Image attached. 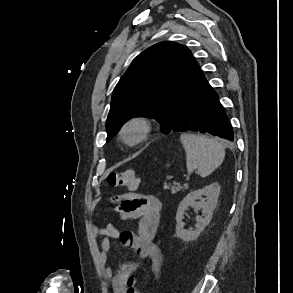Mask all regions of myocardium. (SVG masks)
Masks as SVG:
<instances>
[{
	"label": "myocardium",
	"instance_id": "f54148a6",
	"mask_svg": "<svg viewBox=\"0 0 293 293\" xmlns=\"http://www.w3.org/2000/svg\"><path fill=\"white\" fill-rule=\"evenodd\" d=\"M131 127H137L140 131L139 136L135 140H128L126 138V132ZM152 132V124L149 119L145 117H133L127 120L120 130L121 138L128 145L134 146L145 142Z\"/></svg>",
	"mask_w": 293,
	"mask_h": 293
}]
</instances>
